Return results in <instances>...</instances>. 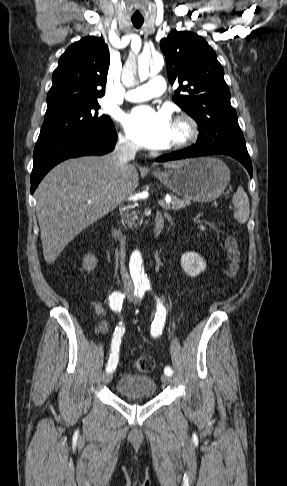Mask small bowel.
I'll return each mask as SVG.
<instances>
[{
  "label": "small bowel",
  "mask_w": 287,
  "mask_h": 486,
  "mask_svg": "<svg viewBox=\"0 0 287 486\" xmlns=\"http://www.w3.org/2000/svg\"><path fill=\"white\" fill-rule=\"evenodd\" d=\"M93 308L96 314L101 315L104 311L102 304L98 300L92 302ZM109 330L108 323L105 320H101L99 323V331L103 334L107 333Z\"/></svg>",
  "instance_id": "small-bowel-1"
}]
</instances>
